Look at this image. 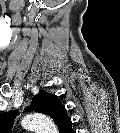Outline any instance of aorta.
<instances>
[{"label": "aorta", "mask_w": 120, "mask_h": 133, "mask_svg": "<svg viewBox=\"0 0 120 133\" xmlns=\"http://www.w3.org/2000/svg\"><path fill=\"white\" fill-rule=\"evenodd\" d=\"M45 118L42 114L34 113L30 114L22 120V124L25 126H32L35 128H46Z\"/></svg>", "instance_id": "obj_1"}]
</instances>
